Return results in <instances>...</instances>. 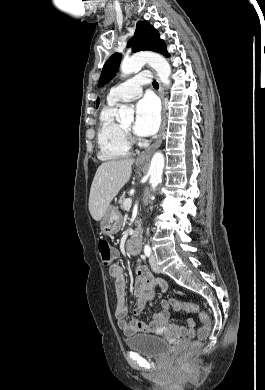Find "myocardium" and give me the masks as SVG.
I'll list each match as a JSON object with an SVG mask.
<instances>
[{
  "label": "myocardium",
  "instance_id": "f54148a6",
  "mask_svg": "<svg viewBox=\"0 0 265 390\" xmlns=\"http://www.w3.org/2000/svg\"><path fill=\"white\" fill-rule=\"evenodd\" d=\"M124 133L126 134L127 138L129 139V141L132 139V132L131 130L129 129H126L125 127H122Z\"/></svg>",
  "mask_w": 265,
  "mask_h": 390
}]
</instances>
